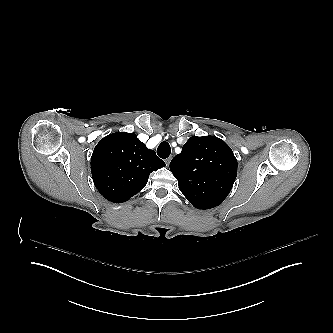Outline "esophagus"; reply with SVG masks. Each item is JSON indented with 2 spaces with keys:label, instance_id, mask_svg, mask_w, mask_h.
Returning a JSON list of instances; mask_svg holds the SVG:
<instances>
[{
  "label": "esophagus",
  "instance_id": "esophagus-1",
  "mask_svg": "<svg viewBox=\"0 0 333 333\" xmlns=\"http://www.w3.org/2000/svg\"><path fill=\"white\" fill-rule=\"evenodd\" d=\"M170 161H171V157L167 158V159L165 160L166 165H169Z\"/></svg>",
  "mask_w": 333,
  "mask_h": 333
}]
</instances>
